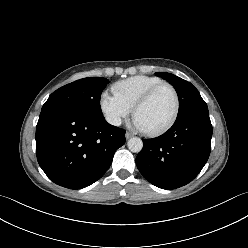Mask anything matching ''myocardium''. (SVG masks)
<instances>
[{
    "mask_svg": "<svg viewBox=\"0 0 248 248\" xmlns=\"http://www.w3.org/2000/svg\"><path fill=\"white\" fill-rule=\"evenodd\" d=\"M162 87H168L171 92L173 93L174 96V101H175V106H174V111L170 117V119L162 126L156 128V129H151V130H146V129H142V131L149 135V136H157L160 135L164 132H166L168 129L171 128V126L175 123L178 114H179V110H180V98H179V94L176 90V88L168 83V82H160L156 85H154L153 87H151L150 89H148L134 104L133 108H132V113H133V117L135 118L137 111L143 106L145 105L150 99L151 97Z\"/></svg>",
    "mask_w": 248,
    "mask_h": 248,
    "instance_id": "myocardium-1",
    "label": "myocardium"
}]
</instances>
